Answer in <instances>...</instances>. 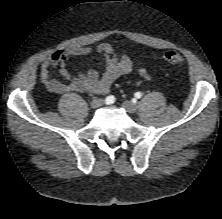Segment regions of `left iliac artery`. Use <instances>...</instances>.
<instances>
[{"label": "left iliac artery", "instance_id": "44dca946", "mask_svg": "<svg viewBox=\"0 0 222 219\" xmlns=\"http://www.w3.org/2000/svg\"><path fill=\"white\" fill-rule=\"evenodd\" d=\"M135 97L139 99V98L142 97V94H141L140 92H136V93H135Z\"/></svg>", "mask_w": 222, "mask_h": 219}]
</instances>
